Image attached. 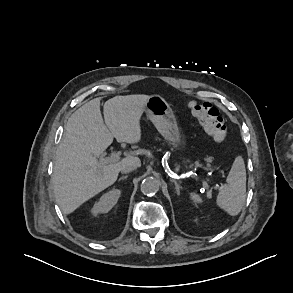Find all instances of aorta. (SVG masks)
Wrapping results in <instances>:
<instances>
[{
  "mask_svg": "<svg viewBox=\"0 0 293 293\" xmlns=\"http://www.w3.org/2000/svg\"><path fill=\"white\" fill-rule=\"evenodd\" d=\"M160 182L155 177H146L140 186L141 192L145 195H154L158 192Z\"/></svg>",
  "mask_w": 293,
  "mask_h": 293,
  "instance_id": "aorta-1",
  "label": "aorta"
}]
</instances>
